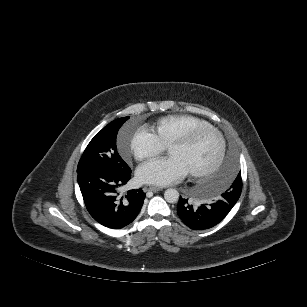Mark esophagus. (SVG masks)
<instances>
[{"instance_id": "esophagus-1", "label": "esophagus", "mask_w": 307, "mask_h": 307, "mask_svg": "<svg viewBox=\"0 0 307 307\" xmlns=\"http://www.w3.org/2000/svg\"><path fill=\"white\" fill-rule=\"evenodd\" d=\"M145 191H153V192H157V191H161L162 188L160 187H155V186H148L144 188Z\"/></svg>"}]
</instances>
